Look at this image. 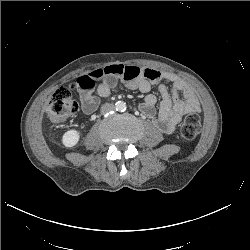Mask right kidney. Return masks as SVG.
<instances>
[{"label": "right kidney", "instance_id": "1", "mask_svg": "<svg viewBox=\"0 0 250 250\" xmlns=\"http://www.w3.org/2000/svg\"><path fill=\"white\" fill-rule=\"evenodd\" d=\"M80 139V133L77 130H68L63 134L62 143L65 147H73L77 145Z\"/></svg>", "mask_w": 250, "mask_h": 250}]
</instances>
